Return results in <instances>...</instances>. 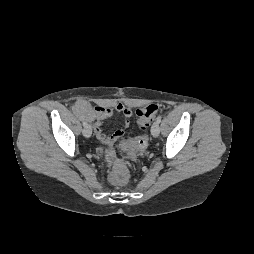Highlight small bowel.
<instances>
[{
	"instance_id": "c3829d8e",
	"label": "small bowel",
	"mask_w": 254,
	"mask_h": 254,
	"mask_svg": "<svg viewBox=\"0 0 254 254\" xmlns=\"http://www.w3.org/2000/svg\"><path fill=\"white\" fill-rule=\"evenodd\" d=\"M74 111L84 121L92 122L96 137L105 144L111 145L124 135L122 128L111 133H105L102 129L103 123L113 115V109L108 107H92L86 100L80 99L74 104ZM115 111L124 116V127L131 122L132 110L122 103L115 106ZM108 159L114 161V154L108 151Z\"/></svg>"
}]
</instances>
